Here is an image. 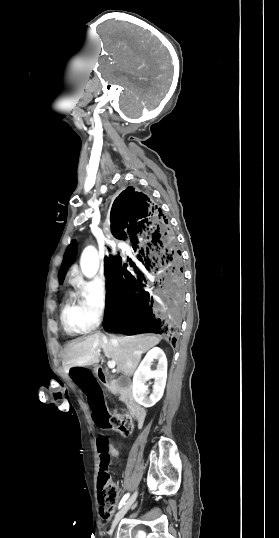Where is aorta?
Listing matches in <instances>:
<instances>
[{
  "label": "aorta",
  "instance_id": "762f6f07",
  "mask_svg": "<svg viewBox=\"0 0 279 538\" xmlns=\"http://www.w3.org/2000/svg\"><path fill=\"white\" fill-rule=\"evenodd\" d=\"M80 266L83 274L88 278L93 277L97 273L99 268V257L97 250L94 247L89 246L85 248L81 256Z\"/></svg>",
  "mask_w": 279,
  "mask_h": 538
}]
</instances>
